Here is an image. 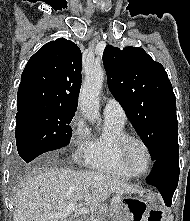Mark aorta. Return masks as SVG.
I'll use <instances>...</instances> for the list:
<instances>
[{"instance_id":"1","label":"aorta","mask_w":190,"mask_h":221,"mask_svg":"<svg viewBox=\"0 0 190 221\" xmlns=\"http://www.w3.org/2000/svg\"><path fill=\"white\" fill-rule=\"evenodd\" d=\"M104 80V71L95 69L88 73L79 94V107L90 122L97 121L99 114V95Z\"/></svg>"}]
</instances>
